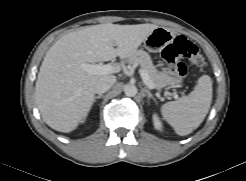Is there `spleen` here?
<instances>
[{"label":"spleen","instance_id":"obj_1","mask_svg":"<svg viewBox=\"0 0 246 181\" xmlns=\"http://www.w3.org/2000/svg\"><path fill=\"white\" fill-rule=\"evenodd\" d=\"M212 102V80L203 75L198 79L194 90L177 101L161 106L163 119L180 136H185L198 128L206 117Z\"/></svg>","mask_w":246,"mask_h":181}]
</instances>
